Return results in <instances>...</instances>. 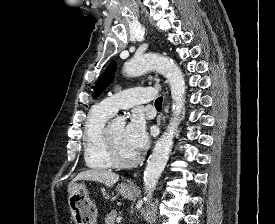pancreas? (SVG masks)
Instances as JSON below:
<instances>
[{
	"instance_id": "1",
	"label": "pancreas",
	"mask_w": 275,
	"mask_h": 224,
	"mask_svg": "<svg viewBox=\"0 0 275 224\" xmlns=\"http://www.w3.org/2000/svg\"><path fill=\"white\" fill-rule=\"evenodd\" d=\"M116 211H111L105 217V224H116Z\"/></svg>"
}]
</instances>
